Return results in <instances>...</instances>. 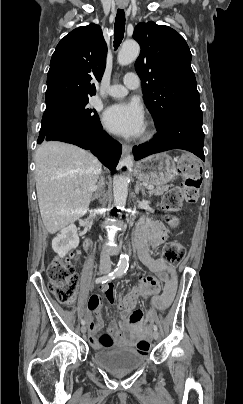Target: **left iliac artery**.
<instances>
[{"label":"left iliac artery","instance_id":"left-iliac-artery-1","mask_svg":"<svg viewBox=\"0 0 243 404\" xmlns=\"http://www.w3.org/2000/svg\"><path fill=\"white\" fill-rule=\"evenodd\" d=\"M121 276H122V273H119L117 277H121ZM153 329H154L155 331H157V330H158V327H157L156 325H154V326H153Z\"/></svg>","mask_w":243,"mask_h":404}]
</instances>
